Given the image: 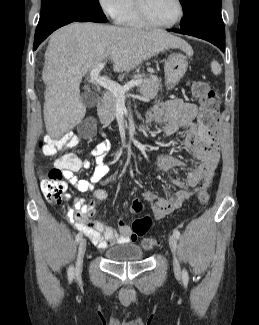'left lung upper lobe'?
<instances>
[{
    "mask_svg": "<svg viewBox=\"0 0 259 325\" xmlns=\"http://www.w3.org/2000/svg\"><path fill=\"white\" fill-rule=\"evenodd\" d=\"M184 9V19L180 22L181 29L188 28L199 18L206 15H221V0H180Z\"/></svg>",
    "mask_w": 259,
    "mask_h": 325,
    "instance_id": "left-lung-upper-lobe-1",
    "label": "left lung upper lobe"
}]
</instances>
